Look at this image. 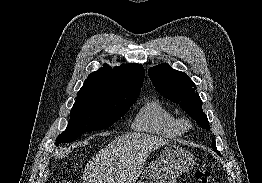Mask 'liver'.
Here are the masks:
<instances>
[{
  "mask_svg": "<svg viewBox=\"0 0 262 183\" xmlns=\"http://www.w3.org/2000/svg\"><path fill=\"white\" fill-rule=\"evenodd\" d=\"M170 141L155 135L131 132L102 148L87 163L83 183H135L149 154Z\"/></svg>",
  "mask_w": 262,
  "mask_h": 183,
  "instance_id": "liver-1",
  "label": "liver"
}]
</instances>
